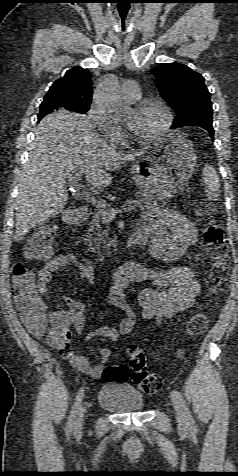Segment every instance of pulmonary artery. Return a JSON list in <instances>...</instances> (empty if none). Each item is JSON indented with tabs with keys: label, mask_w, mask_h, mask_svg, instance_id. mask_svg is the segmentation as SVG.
<instances>
[{
	"label": "pulmonary artery",
	"mask_w": 238,
	"mask_h": 476,
	"mask_svg": "<svg viewBox=\"0 0 238 476\" xmlns=\"http://www.w3.org/2000/svg\"><path fill=\"white\" fill-rule=\"evenodd\" d=\"M121 92H122V98L126 102H135L141 97L140 86L135 81H131V80L125 81L122 84Z\"/></svg>",
	"instance_id": "e3ab8cb5"
}]
</instances>
